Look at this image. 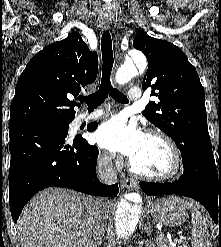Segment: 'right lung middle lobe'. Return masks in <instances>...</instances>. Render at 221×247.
<instances>
[{
  "label": "right lung middle lobe",
  "instance_id": "1",
  "mask_svg": "<svg viewBox=\"0 0 221 247\" xmlns=\"http://www.w3.org/2000/svg\"><path fill=\"white\" fill-rule=\"evenodd\" d=\"M69 123L70 122H66V123H54V124H46L43 126H49L52 127L56 130L62 131L64 133H68V129H69Z\"/></svg>",
  "mask_w": 221,
  "mask_h": 247
}]
</instances>
